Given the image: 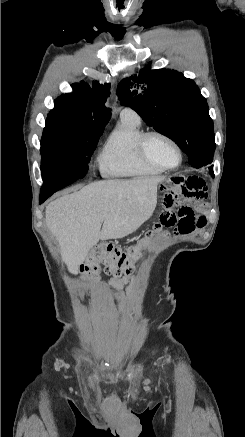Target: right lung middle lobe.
<instances>
[{
	"label": "right lung middle lobe",
	"mask_w": 245,
	"mask_h": 437,
	"mask_svg": "<svg viewBox=\"0 0 245 437\" xmlns=\"http://www.w3.org/2000/svg\"><path fill=\"white\" fill-rule=\"evenodd\" d=\"M103 128L49 113L41 140L42 179L83 178Z\"/></svg>",
	"instance_id": "right-lung-middle-lobe-1"
}]
</instances>
